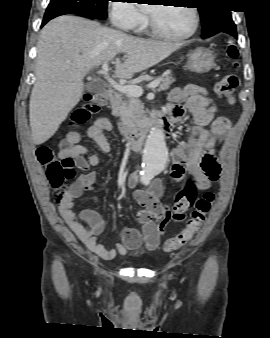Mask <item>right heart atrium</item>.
I'll return each instance as SVG.
<instances>
[{
    "instance_id": "1",
    "label": "right heart atrium",
    "mask_w": 270,
    "mask_h": 338,
    "mask_svg": "<svg viewBox=\"0 0 270 338\" xmlns=\"http://www.w3.org/2000/svg\"><path fill=\"white\" fill-rule=\"evenodd\" d=\"M110 17L113 24L123 30L139 28L147 21L146 15L129 1L114 3L110 8Z\"/></svg>"
}]
</instances>
